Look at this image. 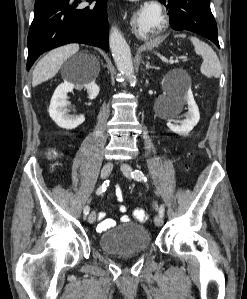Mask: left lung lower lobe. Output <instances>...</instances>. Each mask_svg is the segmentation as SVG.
<instances>
[{"label": "left lung lower lobe", "instance_id": "1", "mask_svg": "<svg viewBox=\"0 0 247 299\" xmlns=\"http://www.w3.org/2000/svg\"><path fill=\"white\" fill-rule=\"evenodd\" d=\"M159 1L168 9L172 29L198 33L220 48L216 21L210 9V0Z\"/></svg>", "mask_w": 247, "mask_h": 299}]
</instances>
